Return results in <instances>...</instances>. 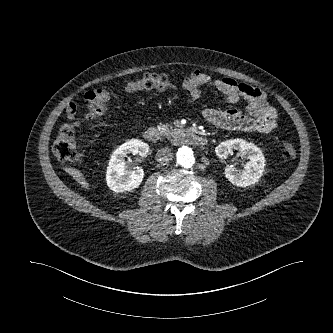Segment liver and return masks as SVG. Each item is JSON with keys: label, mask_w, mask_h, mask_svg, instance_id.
Segmentation results:
<instances>
[{"label": "liver", "mask_w": 333, "mask_h": 333, "mask_svg": "<svg viewBox=\"0 0 333 333\" xmlns=\"http://www.w3.org/2000/svg\"><path fill=\"white\" fill-rule=\"evenodd\" d=\"M71 174L73 178L85 189H89V184L79 170L72 169Z\"/></svg>", "instance_id": "1"}]
</instances>
